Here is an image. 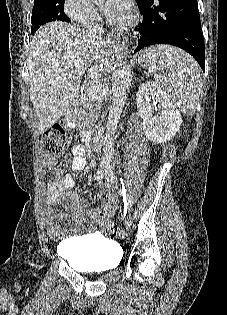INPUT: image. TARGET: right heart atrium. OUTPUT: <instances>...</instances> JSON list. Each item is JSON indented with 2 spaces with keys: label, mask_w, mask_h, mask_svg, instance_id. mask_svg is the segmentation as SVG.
Here are the masks:
<instances>
[{
  "label": "right heart atrium",
  "mask_w": 227,
  "mask_h": 315,
  "mask_svg": "<svg viewBox=\"0 0 227 315\" xmlns=\"http://www.w3.org/2000/svg\"><path fill=\"white\" fill-rule=\"evenodd\" d=\"M65 14L74 22L91 26L99 20V11L91 0H65Z\"/></svg>",
  "instance_id": "1"
}]
</instances>
